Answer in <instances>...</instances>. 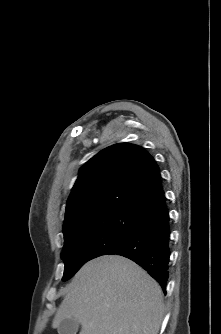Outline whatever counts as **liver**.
Instances as JSON below:
<instances>
[{
    "instance_id": "obj_1",
    "label": "liver",
    "mask_w": 221,
    "mask_h": 334,
    "mask_svg": "<svg viewBox=\"0 0 221 334\" xmlns=\"http://www.w3.org/2000/svg\"><path fill=\"white\" fill-rule=\"evenodd\" d=\"M163 315L159 284L130 259L104 255L74 276L52 327L73 318L80 334H158Z\"/></svg>"
}]
</instances>
